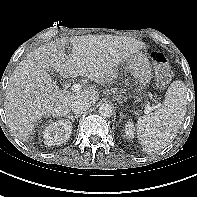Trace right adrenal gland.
<instances>
[{
    "label": "right adrenal gland",
    "instance_id": "obj_1",
    "mask_svg": "<svg viewBox=\"0 0 197 197\" xmlns=\"http://www.w3.org/2000/svg\"><path fill=\"white\" fill-rule=\"evenodd\" d=\"M78 117H79V115H74V116H73V115H70V114L68 115V118H69L72 122H74L75 119L78 118Z\"/></svg>",
    "mask_w": 197,
    "mask_h": 197
}]
</instances>
